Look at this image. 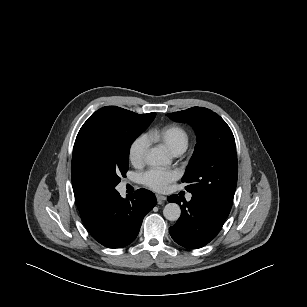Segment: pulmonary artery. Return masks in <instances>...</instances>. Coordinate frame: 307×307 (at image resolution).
Instances as JSON below:
<instances>
[{"mask_svg": "<svg viewBox=\"0 0 307 307\" xmlns=\"http://www.w3.org/2000/svg\"><path fill=\"white\" fill-rule=\"evenodd\" d=\"M177 155H179V154H177ZM191 198H192V196L189 194V195L187 196V200L189 201V200H191Z\"/></svg>", "mask_w": 307, "mask_h": 307, "instance_id": "1", "label": "pulmonary artery"}]
</instances>
